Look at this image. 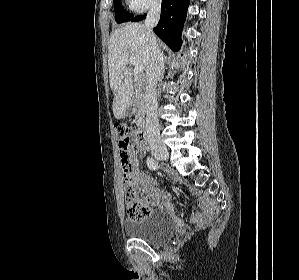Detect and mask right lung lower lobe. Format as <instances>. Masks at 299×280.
Instances as JSON below:
<instances>
[{"mask_svg":"<svg viewBox=\"0 0 299 280\" xmlns=\"http://www.w3.org/2000/svg\"><path fill=\"white\" fill-rule=\"evenodd\" d=\"M188 6L189 0H162L161 17L153 30L173 51L181 47L180 37ZM145 16L139 15L130 21H140Z\"/></svg>","mask_w":299,"mask_h":280,"instance_id":"right-lung-lower-lobe-1","label":"right lung lower lobe"}]
</instances>
